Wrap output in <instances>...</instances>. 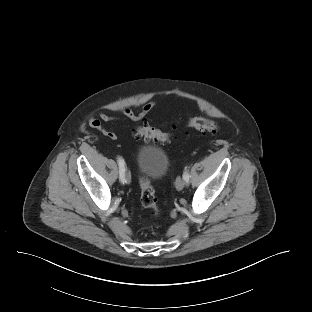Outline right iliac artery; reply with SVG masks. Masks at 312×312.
<instances>
[{
  "instance_id": "right-iliac-artery-1",
  "label": "right iliac artery",
  "mask_w": 312,
  "mask_h": 312,
  "mask_svg": "<svg viewBox=\"0 0 312 312\" xmlns=\"http://www.w3.org/2000/svg\"><path fill=\"white\" fill-rule=\"evenodd\" d=\"M117 162H118V165H119V173H120V180L121 182L124 183V173H125V162L123 160V158L121 157H118L117 158Z\"/></svg>"
}]
</instances>
